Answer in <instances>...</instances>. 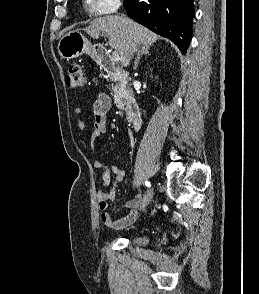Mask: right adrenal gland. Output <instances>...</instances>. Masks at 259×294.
Listing matches in <instances>:
<instances>
[{
  "mask_svg": "<svg viewBox=\"0 0 259 294\" xmlns=\"http://www.w3.org/2000/svg\"><path fill=\"white\" fill-rule=\"evenodd\" d=\"M150 47L151 45H143L139 47L137 58L135 59V62H134V69L137 68L142 55H150V52H149Z\"/></svg>",
  "mask_w": 259,
  "mask_h": 294,
  "instance_id": "obj_1",
  "label": "right adrenal gland"
}]
</instances>
